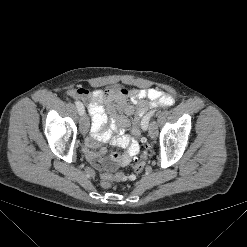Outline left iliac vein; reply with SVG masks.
<instances>
[{"mask_svg":"<svg viewBox=\"0 0 247 247\" xmlns=\"http://www.w3.org/2000/svg\"><path fill=\"white\" fill-rule=\"evenodd\" d=\"M148 127L146 126H142V129L143 130H146ZM149 135L152 139H154L157 135V126H156V123L153 122L151 125H150V128H149Z\"/></svg>","mask_w":247,"mask_h":247,"instance_id":"4c4485c4","label":"left iliac vein"}]
</instances>
